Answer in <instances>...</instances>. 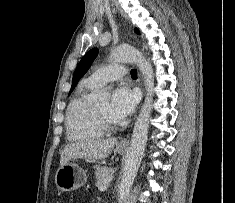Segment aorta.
<instances>
[{
    "mask_svg": "<svg viewBox=\"0 0 235 203\" xmlns=\"http://www.w3.org/2000/svg\"><path fill=\"white\" fill-rule=\"evenodd\" d=\"M110 61L135 63L143 77L146 89V97L141 111L135 121L131 143L125 161L124 172L119 186L118 203H124L130 188L134 182L145 150L149 118L152 109L154 77L153 68L149 61L136 49L132 47H116L111 50ZM107 92L102 91L99 97H106Z\"/></svg>",
    "mask_w": 235,
    "mask_h": 203,
    "instance_id": "aorta-1",
    "label": "aorta"
}]
</instances>
